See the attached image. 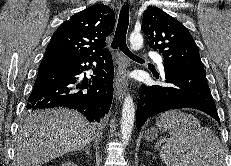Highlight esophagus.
<instances>
[{
  "label": "esophagus",
  "mask_w": 231,
  "mask_h": 166,
  "mask_svg": "<svg viewBox=\"0 0 231 166\" xmlns=\"http://www.w3.org/2000/svg\"><path fill=\"white\" fill-rule=\"evenodd\" d=\"M126 1L131 2L132 0ZM126 68L127 62L125 58L121 54H118V70L114 81L115 96L118 101L123 99L127 90Z\"/></svg>",
  "instance_id": "obj_1"
}]
</instances>
